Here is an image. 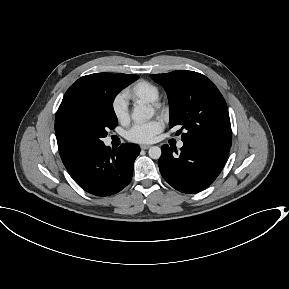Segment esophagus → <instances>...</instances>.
Here are the masks:
<instances>
[{
  "instance_id": "1",
  "label": "esophagus",
  "mask_w": 289,
  "mask_h": 289,
  "mask_svg": "<svg viewBox=\"0 0 289 289\" xmlns=\"http://www.w3.org/2000/svg\"><path fill=\"white\" fill-rule=\"evenodd\" d=\"M140 147H141V149L146 150V149H149L151 146L150 145H141Z\"/></svg>"
}]
</instances>
